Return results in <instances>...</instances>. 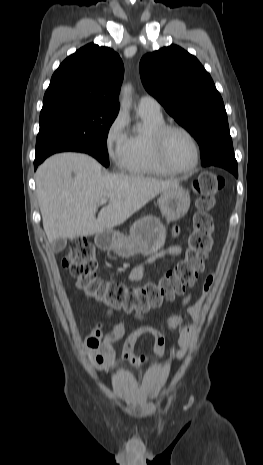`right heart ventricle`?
<instances>
[{
  "label": "right heart ventricle",
  "instance_id": "right-heart-ventricle-1",
  "mask_svg": "<svg viewBox=\"0 0 263 465\" xmlns=\"http://www.w3.org/2000/svg\"><path fill=\"white\" fill-rule=\"evenodd\" d=\"M139 114L143 121V128L133 131L128 136L125 170L140 175H170L171 173L157 162L151 141L152 133L165 124L162 115Z\"/></svg>",
  "mask_w": 263,
  "mask_h": 465
}]
</instances>
